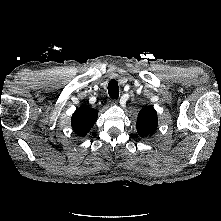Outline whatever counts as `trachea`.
I'll return each instance as SVG.
<instances>
[{
	"mask_svg": "<svg viewBox=\"0 0 221 221\" xmlns=\"http://www.w3.org/2000/svg\"><path fill=\"white\" fill-rule=\"evenodd\" d=\"M108 94L113 99H117L119 97V86L115 79H112L108 83Z\"/></svg>",
	"mask_w": 221,
	"mask_h": 221,
	"instance_id": "3493384b",
	"label": "trachea"
}]
</instances>
